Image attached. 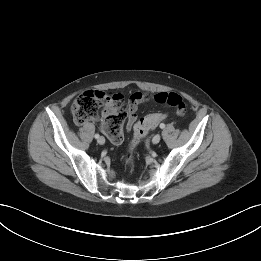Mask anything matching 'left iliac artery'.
Instances as JSON below:
<instances>
[{"label": "left iliac artery", "mask_w": 261, "mask_h": 261, "mask_svg": "<svg viewBox=\"0 0 261 261\" xmlns=\"http://www.w3.org/2000/svg\"><path fill=\"white\" fill-rule=\"evenodd\" d=\"M160 128H161V129L165 128V124H164V123H161V124H160Z\"/></svg>", "instance_id": "44dca946"}]
</instances>
